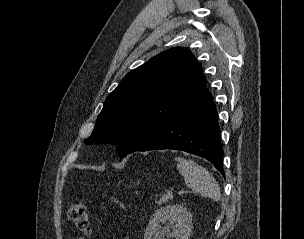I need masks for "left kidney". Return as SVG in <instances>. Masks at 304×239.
<instances>
[{"instance_id": "5707ae66", "label": "left kidney", "mask_w": 304, "mask_h": 239, "mask_svg": "<svg viewBox=\"0 0 304 239\" xmlns=\"http://www.w3.org/2000/svg\"><path fill=\"white\" fill-rule=\"evenodd\" d=\"M192 217L182 205L160 208L152 215L144 239H165V234L175 239H189L193 228ZM160 223L165 227L162 228Z\"/></svg>"}]
</instances>
